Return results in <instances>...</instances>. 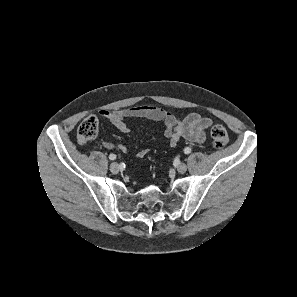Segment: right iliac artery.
<instances>
[{
  "mask_svg": "<svg viewBox=\"0 0 297 297\" xmlns=\"http://www.w3.org/2000/svg\"><path fill=\"white\" fill-rule=\"evenodd\" d=\"M109 159L110 160H115L116 159V155L115 154H110L109 155Z\"/></svg>",
  "mask_w": 297,
  "mask_h": 297,
  "instance_id": "obj_1",
  "label": "right iliac artery"
}]
</instances>
